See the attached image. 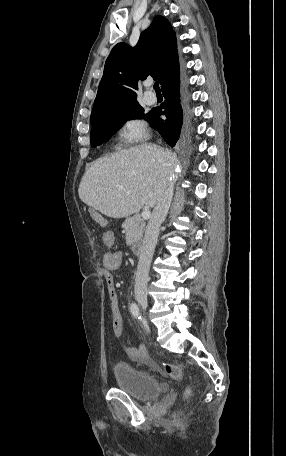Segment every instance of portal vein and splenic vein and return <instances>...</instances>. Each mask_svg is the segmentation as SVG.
Instances as JSON below:
<instances>
[{
    "label": "portal vein and splenic vein",
    "instance_id": "portal-vein-and-splenic-vein-1",
    "mask_svg": "<svg viewBox=\"0 0 286 456\" xmlns=\"http://www.w3.org/2000/svg\"><path fill=\"white\" fill-rule=\"evenodd\" d=\"M141 215L144 219H148V218H150L151 213H150L149 209L146 208V209H144V211L142 212Z\"/></svg>",
    "mask_w": 286,
    "mask_h": 456
}]
</instances>
